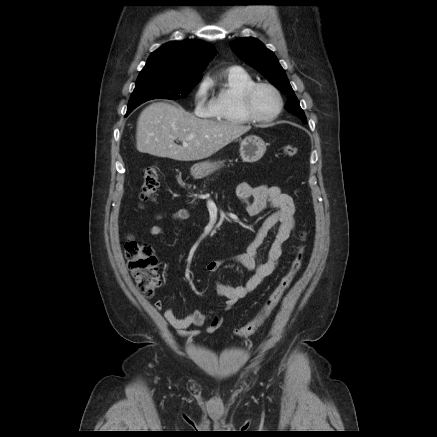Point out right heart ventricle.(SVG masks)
Masks as SVG:
<instances>
[{
  "instance_id": "right-heart-ventricle-1",
  "label": "right heart ventricle",
  "mask_w": 437,
  "mask_h": 437,
  "mask_svg": "<svg viewBox=\"0 0 437 437\" xmlns=\"http://www.w3.org/2000/svg\"><path fill=\"white\" fill-rule=\"evenodd\" d=\"M254 82L251 75L239 67H232L223 72L214 97L213 117L229 124L249 123L251 120L242 107V95Z\"/></svg>"
}]
</instances>
